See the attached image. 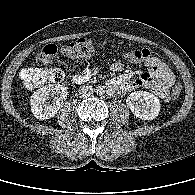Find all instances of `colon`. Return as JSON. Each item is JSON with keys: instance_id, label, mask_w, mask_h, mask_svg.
<instances>
[{"instance_id": "1", "label": "colon", "mask_w": 195, "mask_h": 195, "mask_svg": "<svg viewBox=\"0 0 195 195\" xmlns=\"http://www.w3.org/2000/svg\"><path fill=\"white\" fill-rule=\"evenodd\" d=\"M58 53L77 59H90L94 55V47L91 41L86 38H79L68 45L49 43L41 48L36 62L39 65H45ZM124 57L129 62L145 65L150 64L153 56L150 50L137 48L126 52ZM21 78L28 88H36L43 85L61 83L65 79V74L58 68L43 69L40 66H31L22 70ZM181 93V85L176 84L171 91V96L173 99H177L181 96Z\"/></svg>"}]
</instances>
